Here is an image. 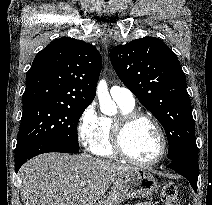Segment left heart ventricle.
Instances as JSON below:
<instances>
[{
	"instance_id": "1",
	"label": "left heart ventricle",
	"mask_w": 212,
	"mask_h": 205,
	"mask_svg": "<svg viewBox=\"0 0 212 205\" xmlns=\"http://www.w3.org/2000/svg\"><path fill=\"white\" fill-rule=\"evenodd\" d=\"M124 147L137 160L155 158L160 150V140L153 124L145 118L132 122L124 134Z\"/></svg>"
}]
</instances>
